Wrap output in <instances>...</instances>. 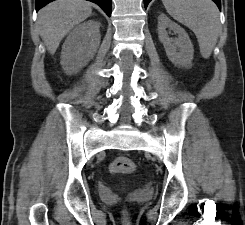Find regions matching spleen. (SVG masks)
Returning <instances> with one entry per match:
<instances>
[{
  "label": "spleen",
  "mask_w": 245,
  "mask_h": 225,
  "mask_svg": "<svg viewBox=\"0 0 245 225\" xmlns=\"http://www.w3.org/2000/svg\"><path fill=\"white\" fill-rule=\"evenodd\" d=\"M175 20L196 35L202 57H210L220 30L219 11L212 0H162Z\"/></svg>",
  "instance_id": "obj_1"
}]
</instances>
